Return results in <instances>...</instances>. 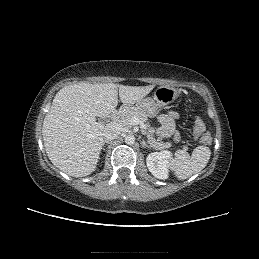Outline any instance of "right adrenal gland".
<instances>
[{
	"instance_id": "2a0ac1e0",
	"label": "right adrenal gland",
	"mask_w": 259,
	"mask_h": 259,
	"mask_svg": "<svg viewBox=\"0 0 259 259\" xmlns=\"http://www.w3.org/2000/svg\"><path fill=\"white\" fill-rule=\"evenodd\" d=\"M105 143H109V142H108V141H104V142H103V145H105Z\"/></svg>"
}]
</instances>
